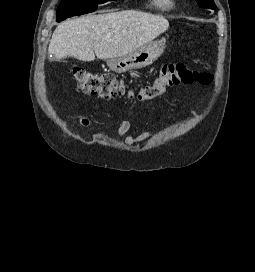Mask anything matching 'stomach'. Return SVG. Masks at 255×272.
<instances>
[{"instance_id":"1","label":"stomach","mask_w":255,"mask_h":272,"mask_svg":"<svg viewBox=\"0 0 255 272\" xmlns=\"http://www.w3.org/2000/svg\"><path fill=\"white\" fill-rule=\"evenodd\" d=\"M165 41L158 40L146 44L139 49L107 62L108 67L116 73H124L133 69H141L151 65L163 53Z\"/></svg>"}]
</instances>
